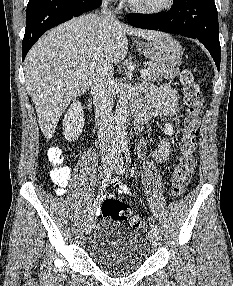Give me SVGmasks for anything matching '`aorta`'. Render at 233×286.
I'll use <instances>...</instances> for the list:
<instances>
[{"label": "aorta", "instance_id": "1", "mask_svg": "<svg viewBox=\"0 0 233 286\" xmlns=\"http://www.w3.org/2000/svg\"><path fill=\"white\" fill-rule=\"evenodd\" d=\"M127 91L123 87L117 100L115 108V129L117 142H123L126 139V124H127Z\"/></svg>", "mask_w": 233, "mask_h": 286}]
</instances>
